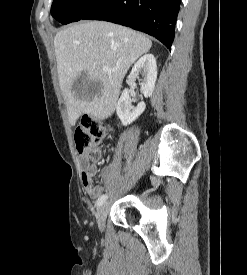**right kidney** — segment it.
Here are the masks:
<instances>
[{"label": "right kidney", "mask_w": 247, "mask_h": 275, "mask_svg": "<svg viewBox=\"0 0 247 275\" xmlns=\"http://www.w3.org/2000/svg\"><path fill=\"white\" fill-rule=\"evenodd\" d=\"M142 79H139V76ZM131 76L140 80V87L144 96L150 97L154 91L157 79V64L154 55L146 54L142 56L133 66ZM129 90L124 89L116 105V113L122 125L127 126L135 121L145 110L144 102L138 103L137 107L132 106Z\"/></svg>", "instance_id": "ca27d5eb"}]
</instances>
